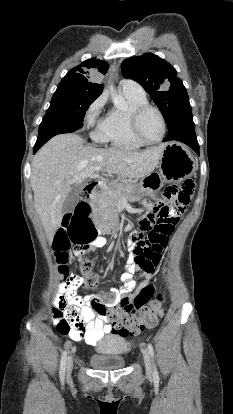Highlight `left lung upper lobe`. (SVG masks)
I'll list each match as a JSON object with an SVG mask.
<instances>
[{
  "label": "left lung upper lobe",
  "instance_id": "5c2ea615",
  "mask_svg": "<svg viewBox=\"0 0 233 414\" xmlns=\"http://www.w3.org/2000/svg\"><path fill=\"white\" fill-rule=\"evenodd\" d=\"M123 75L140 83L151 94L166 121L167 127L176 116L191 107L189 97L177 71L165 60L146 53L122 63Z\"/></svg>",
  "mask_w": 233,
  "mask_h": 414
}]
</instances>
